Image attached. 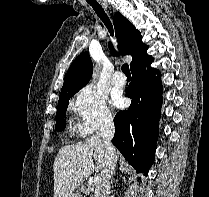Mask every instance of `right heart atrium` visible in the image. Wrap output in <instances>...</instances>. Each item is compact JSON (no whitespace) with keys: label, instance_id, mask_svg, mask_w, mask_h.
<instances>
[{"label":"right heart atrium","instance_id":"d8ad5b80","mask_svg":"<svg viewBox=\"0 0 209 197\" xmlns=\"http://www.w3.org/2000/svg\"><path fill=\"white\" fill-rule=\"evenodd\" d=\"M70 109L79 121L77 131L81 136H88L113 120L107 97L92 86L82 88L75 95Z\"/></svg>","mask_w":209,"mask_h":197}]
</instances>
